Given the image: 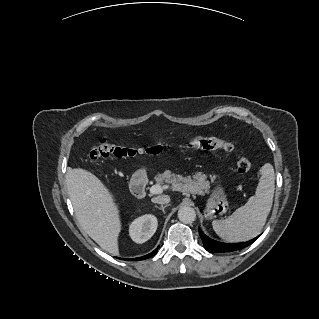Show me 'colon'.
Wrapping results in <instances>:
<instances>
[{
	"label": "colon",
	"instance_id": "colon-1",
	"mask_svg": "<svg viewBox=\"0 0 319 319\" xmlns=\"http://www.w3.org/2000/svg\"><path fill=\"white\" fill-rule=\"evenodd\" d=\"M178 149H197V150H225L232 151L231 144L222 141L217 138L209 137H194L185 143L179 145ZM169 146L166 145H154L150 147H132L120 142H115L109 139H103L98 144L93 146L89 151V159L92 163H98L102 158L117 157L126 158L133 157L139 153L146 154H161ZM236 168L239 173L246 174L251 169V163L242 157H238L236 161Z\"/></svg>",
	"mask_w": 319,
	"mask_h": 319
}]
</instances>
